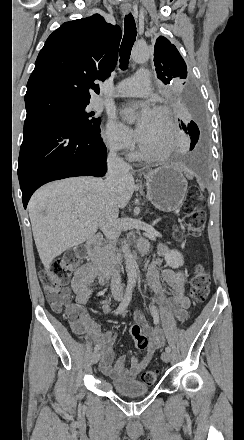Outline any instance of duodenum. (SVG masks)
Returning <instances> with one entry per match:
<instances>
[{
    "instance_id": "410a0bca",
    "label": "duodenum",
    "mask_w": 244,
    "mask_h": 440,
    "mask_svg": "<svg viewBox=\"0 0 244 440\" xmlns=\"http://www.w3.org/2000/svg\"><path fill=\"white\" fill-rule=\"evenodd\" d=\"M103 240L100 236L90 238L86 243L85 255L88 260L110 274L119 270L117 260L114 256L102 252ZM141 255L145 254V248H141Z\"/></svg>"
}]
</instances>
